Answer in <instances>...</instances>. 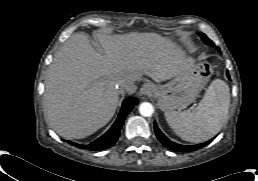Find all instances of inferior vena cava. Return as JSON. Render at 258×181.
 <instances>
[{
    "label": "inferior vena cava",
    "mask_w": 258,
    "mask_h": 181,
    "mask_svg": "<svg viewBox=\"0 0 258 181\" xmlns=\"http://www.w3.org/2000/svg\"><path fill=\"white\" fill-rule=\"evenodd\" d=\"M137 87L133 80H124L119 86V92L121 94H133Z\"/></svg>",
    "instance_id": "1"
}]
</instances>
